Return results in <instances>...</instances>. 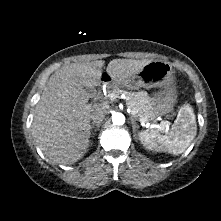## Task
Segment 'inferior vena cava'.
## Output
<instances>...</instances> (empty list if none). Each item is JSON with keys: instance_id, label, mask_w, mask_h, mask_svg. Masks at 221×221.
Returning a JSON list of instances; mask_svg holds the SVG:
<instances>
[{"instance_id": "1", "label": "inferior vena cava", "mask_w": 221, "mask_h": 221, "mask_svg": "<svg viewBox=\"0 0 221 221\" xmlns=\"http://www.w3.org/2000/svg\"><path fill=\"white\" fill-rule=\"evenodd\" d=\"M107 110L108 106L105 104L95 105L91 112L90 118L93 120V122H101L104 119Z\"/></svg>"}]
</instances>
